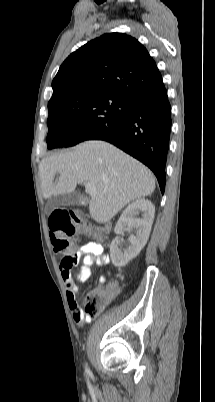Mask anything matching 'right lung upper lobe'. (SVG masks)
Returning <instances> with one entry per match:
<instances>
[{
    "label": "right lung upper lobe",
    "instance_id": "right-lung-upper-lobe-1",
    "mask_svg": "<svg viewBox=\"0 0 215 402\" xmlns=\"http://www.w3.org/2000/svg\"><path fill=\"white\" fill-rule=\"evenodd\" d=\"M53 95H117L128 100L164 88L162 76L146 48L135 38L107 33L72 53L52 81Z\"/></svg>",
    "mask_w": 215,
    "mask_h": 402
}]
</instances>
